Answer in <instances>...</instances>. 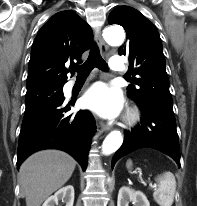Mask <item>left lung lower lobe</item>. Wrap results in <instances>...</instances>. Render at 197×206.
Segmentation results:
<instances>
[{
  "label": "left lung lower lobe",
  "instance_id": "obj_1",
  "mask_svg": "<svg viewBox=\"0 0 197 206\" xmlns=\"http://www.w3.org/2000/svg\"><path fill=\"white\" fill-rule=\"evenodd\" d=\"M133 100L142 111L141 122L125 133L124 142L112 159V168L121 157L146 147L168 154L180 166L179 141L172 107Z\"/></svg>",
  "mask_w": 197,
  "mask_h": 206
}]
</instances>
